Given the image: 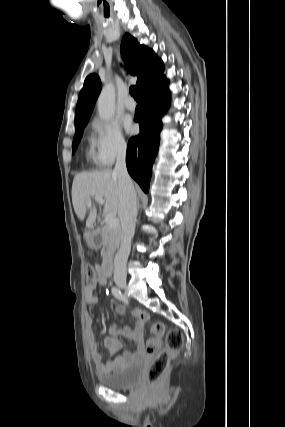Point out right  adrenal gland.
<instances>
[{
	"label": "right adrenal gland",
	"instance_id": "obj_1",
	"mask_svg": "<svg viewBox=\"0 0 285 427\" xmlns=\"http://www.w3.org/2000/svg\"><path fill=\"white\" fill-rule=\"evenodd\" d=\"M140 208V205H139V200H138V209Z\"/></svg>",
	"mask_w": 285,
	"mask_h": 427
}]
</instances>
